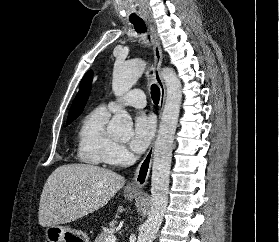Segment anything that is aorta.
<instances>
[{"mask_svg":"<svg viewBox=\"0 0 279 242\" xmlns=\"http://www.w3.org/2000/svg\"><path fill=\"white\" fill-rule=\"evenodd\" d=\"M145 67L146 63L141 59L116 64L112 80L114 93L122 95L129 91L141 77ZM162 77L166 85L167 97L154 146L151 207L147 220L141 227L137 242L153 241L162 224L168 204L172 150L182 102V85L171 68H164ZM107 132L116 139L128 140L133 133L131 116L125 110H119L109 122Z\"/></svg>","mask_w":279,"mask_h":242,"instance_id":"aorta-1","label":"aorta"}]
</instances>
